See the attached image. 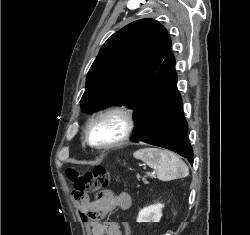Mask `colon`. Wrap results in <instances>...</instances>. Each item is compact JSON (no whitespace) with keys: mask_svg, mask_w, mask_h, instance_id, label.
Here are the masks:
<instances>
[{"mask_svg":"<svg viewBox=\"0 0 250 235\" xmlns=\"http://www.w3.org/2000/svg\"><path fill=\"white\" fill-rule=\"evenodd\" d=\"M68 180L71 182L75 198L81 203L88 193L98 195V199L104 197V190L108 187L110 174L105 167H96L93 170L79 172L74 168L66 171Z\"/></svg>","mask_w":250,"mask_h":235,"instance_id":"1","label":"colon"}]
</instances>
